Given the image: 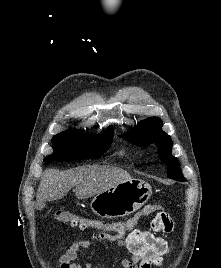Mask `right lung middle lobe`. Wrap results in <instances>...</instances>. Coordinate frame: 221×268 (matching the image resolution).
<instances>
[{
    "instance_id": "obj_1",
    "label": "right lung middle lobe",
    "mask_w": 221,
    "mask_h": 268,
    "mask_svg": "<svg viewBox=\"0 0 221 268\" xmlns=\"http://www.w3.org/2000/svg\"><path fill=\"white\" fill-rule=\"evenodd\" d=\"M113 136L114 132L110 128L99 135H88L72 129L63 131L52 138L54 151L44 162L74 161L101 156L109 149Z\"/></svg>"
}]
</instances>
